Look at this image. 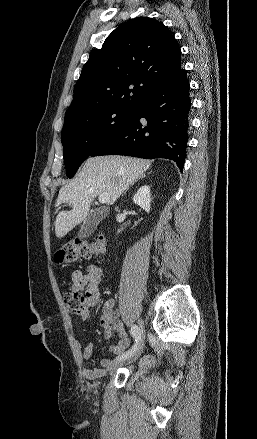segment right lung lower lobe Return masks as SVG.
I'll list each match as a JSON object with an SVG mask.
<instances>
[{
	"instance_id": "98d812e1",
	"label": "right lung lower lobe",
	"mask_w": 257,
	"mask_h": 439,
	"mask_svg": "<svg viewBox=\"0 0 257 439\" xmlns=\"http://www.w3.org/2000/svg\"><path fill=\"white\" fill-rule=\"evenodd\" d=\"M190 85L185 70L152 90L136 107L123 127L101 142L90 154L167 158L183 170L188 141Z\"/></svg>"
}]
</instances>
